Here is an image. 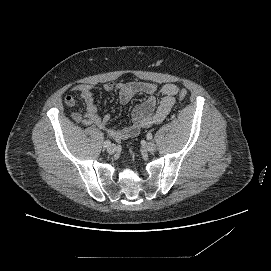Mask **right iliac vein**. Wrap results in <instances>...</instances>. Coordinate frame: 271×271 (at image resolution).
<instances>
[{"mask_svg":"<svg viewBox=\"0 0 271 271\" xmlns=\"http://www.w3.org/2000/svg\"><path fill=\"white\" fill-rule=\"evenodd\" d=\"M115 151H116V147H115L113 144L110 145V146L107 148V152H108L109 154H114Z\"/></svg>","mask_w":271,"mask_h":271,"instance_id":"obj_1","label":"right iliac vein"}]
</instances>
